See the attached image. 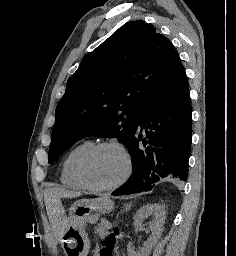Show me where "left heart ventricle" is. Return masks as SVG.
Instances as JSON below:
<instances>
[{"instance_id":"1","label":"left heart ventricle","mask_w":236,"mask_h":256,"mask_svg":"<svg viewBox=\"0 0 236 256\" xmlns=\"http://www.w3.org/2000/svg\"><path fill=\"white\" fill-rule=\"evenodd\" d=\"M125 170L122 153L113 147L103 148L94 154L87 164V177L96 187H108L117 183Z\"/></svg>"}]
</instances>
